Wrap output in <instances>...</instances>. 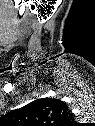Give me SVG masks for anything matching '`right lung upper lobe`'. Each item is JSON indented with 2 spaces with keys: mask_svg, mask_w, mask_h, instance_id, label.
Instances as JSON below:
<instances>
[{
  "mask_svg": "<svg viewBox=\"0 0 95 126\" xmlns=\"http://www.w3.org/2000/svg\"><path fill=\"white\" fill-rule=\"evenodd\" d=\"M6 118L16 126H73L74 116L65 102L40 98L22 108L10 111Z\"/></svg>",
  "mask_w": 95,
  "mask_h": 126,
  "instance_id": "cb5924a9",
  "label": "right lung upper lobe"
}]
</instances>
